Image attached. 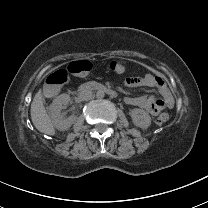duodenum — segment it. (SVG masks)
I'll return each mask as SVG.
<instances>
[{"mask_svg": "<svg viewBox=\"0 0 208 208\" xmlns=\"http://www.w3.org/2000/svg\"><path fill=\"white\" fill-rule=\"evenodd\" d=\"M88 90H99V91L105 92L106 94L113 96V97H115L117 95L113 89H111L107 86H104L100 83H97V82H88V83H84L80 86L81 92L88 91Z\"/></svg>", "mask_w": 208, "mask_h": 208, "instance_id": "duodenum-1", "label": "duodenum"}]
</instances>
